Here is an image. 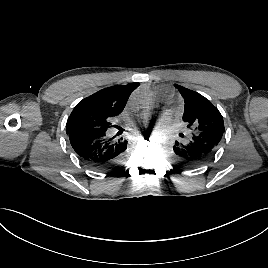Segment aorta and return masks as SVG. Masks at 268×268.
Listing matches in <instances>:
<instances>
[{"instance_id":"obj_1","label":"aorta","mask_w":268,"mask_h":268,"mask_svg":"<svg viewBox=\"0 0 268 268\" xmlns=\"http://www.w3.org/2000/svg\"><path fill=\"white\" fill-rule=\"evenodd\" d=\"M139 103L145 108H149L153 105V99L149 96H143L140 98ZM154 139L157 143L162 144L166 141L167 136L164 132L159 131L155 134Z\"/></svg>"}]
</instances>
